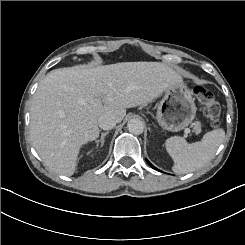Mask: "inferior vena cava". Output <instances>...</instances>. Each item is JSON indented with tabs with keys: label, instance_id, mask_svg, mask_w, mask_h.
<instances>
[{
	"label": "inferior vena cava",
	"instance_id": "602c4592",
	"mask_svg": "<svg viewBox=\"0 0 245 245\" xmlns=\"http://www.w3.org/2000/svg\"><path fill=\"white\" fill-rule=\"evenodd\" d=\"M98 125L103 130H110L116 125L115 117L111 114H103L98 119Z\"/></svg>",
	"mask_w": 245,
	"mask_h": 245
}]
</instances>
